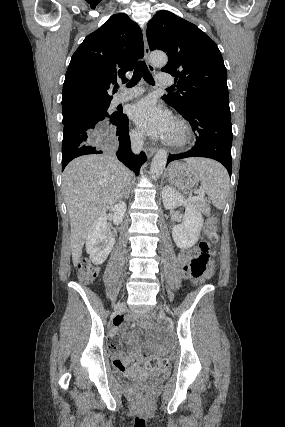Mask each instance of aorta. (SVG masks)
<instances>
[{"label":"aorta","instance_id":"obj_1","mask_svg":"<svg viewBox=\"0 0 285 427\" xmlns=\"http://www.w3.org/2000/svg\"><path fill=\"white\" fill-rule=\"evenodd\" d=\"M150 61L154 66L162 67L166 65L168 58L163 52H153L150 55ZM167 151L160 149L152 159L150 166V176L152 179H158L163 173L167 163Z\"/></svg>","mask_w":285,"mask_h":427}]
</instances>
